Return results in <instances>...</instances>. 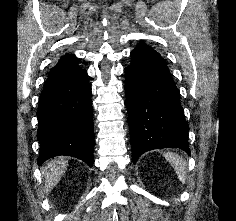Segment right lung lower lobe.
Masks as SVG:
<instances>
[{"mask_svg":"<svg viewBox=\"0 0 236 221\" xmlns=\"http://www.w3.org/2000/svg\"><path fill=\"white\" fill-rule=\"evenodd\" d=\"M37 117L39 164L66 155L93 165L91 87L74 55L63 57L50 70L39 98Z\"/></svg>","mask_w":236,"mask_h":221,"instance_id":"right-lung-lower-lobe-1","label":"right lung lower lobe"}]
</instances>
